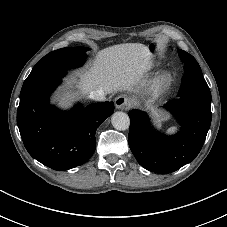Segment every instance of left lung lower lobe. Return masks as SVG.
<instances>
[{"label":"left lung lower lobe","mask_w":227,"mask_h":227,"mask_svg":"<svg viewBox=\"0 0 227 227\" xmlns=\"http://www.w3.org/2000/svg\"><path fill=\"white\" fill-rule=\"evenodd\" d=\"M211 102L178 98L164 108L174 114L181 130L174 136H154L146 113L132 110L129 146L139 164L155 173H171L188 164L199 154L211 124Z\"/></svg>","instance_id":"1"}]
</instances>
